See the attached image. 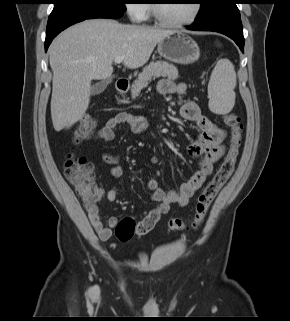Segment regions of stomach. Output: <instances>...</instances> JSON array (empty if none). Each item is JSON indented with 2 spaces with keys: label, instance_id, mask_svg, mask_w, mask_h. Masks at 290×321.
<instances>
[{
  "label": "stomach",
  "instance_id": "stomach-1",
  "mask_svg": "<svg viewBox=\"0 0 290 321\" xmlns=\"http://www.w3.org/2000/svg\"><path fill=\"white\" fill-rule=\"evenodd\" d=\"M157 51L161 57L183 65L192 64L200 57L197 43L182 31H173L161 40Z\"/></svg>",
  "mask_w": 290,
  "mask_h": 321
}]
</instances>
